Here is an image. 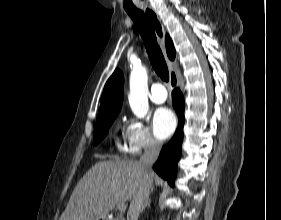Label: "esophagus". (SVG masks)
Listing matches in <instances>:
<instances>
[{"label": "esophagus", "mask_w": 281, "mask_h": 220, "mask_svg": "<svg viewBox=\"0 0 281 220\" xmlns=\"http://www.w3.org/2000/svg\"><path fill=\"white\" fill-rule=\"evenodd\" d=\"M143 11L145 13L146 18L148 19V21L150 22L157 40L159 42L160 47L162 48L165 56H166V60H167V65L169 68V73H170V86L172 89L177 88L178 86V79H177V75L176 72L173 68V61H171L168 56L166 55V49H165V28L163 26V24L161 23L159 17L157 16V14L150 8L145 6L143 8Z\"/></svg>", "instance_id": "34e87169"}]
</instances>
